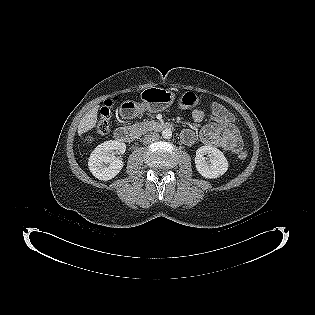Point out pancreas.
Here are the masks:
<instances>
[{"label": "pancreas", "instance_id": "cf45deb5", "mask_svg": "<svg viewBox=\"0 0 315 315\" xmlns=\"http://www.w3.org/2000/svg\"><path fill=\"white\" fill-rule=\"evenodd\" d=\"M133 128L140 133H145L150 129V123L148 122L137 123L133 125Z\"/></svg>", "mask_w": 315, "mask_h": 315}]
</instances>
